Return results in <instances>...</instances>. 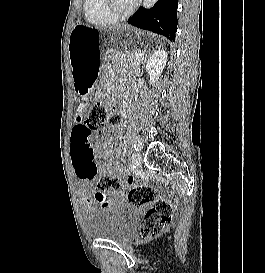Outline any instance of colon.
Returning <instances> with one entry per match:
<instances>
[{"mask_svg":"<svg viewBox=\"0 0 265 273\" xmlns=\"http://www.w3.org/2000/svg\"><path fill=\"white\" fill-rule=\"evenodd\" d=\"M84 106L77 109L78 120L75 125L82 127L81 117L85 116ZM122 117L118 112H109L101 102L94 103L87 111L85 125L89 133L95 137H101L111 128L121 124ZM90 151L93 153L92 148ZM97 188L104 191H114L118 194H126L128 201L137 206L146 205L153 202L147 210L141 226V235L144 238H154L163 233L172 223L173 206L165 199H155L152 187L143 183H135L127 189L121 181L116 178L103 176L97 182ZM102 206L106 204H100Z\"/></svg>","mask_w":265,"mask_h":273,"instance_id":"colon-1","label":"colon"}]
</instances>
